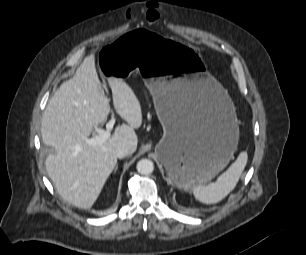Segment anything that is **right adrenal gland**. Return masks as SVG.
<instances>
[{
	"mask_svg": "<svg viewBox=\"0 0 306 255\" xmlns=\"http://www.w3.org/2000/svg\"><path fill=\"white\" fill-rule=\"evenodd\" d=\"M117 168H118V166H116V167H115V170H114V172H116V171H117Z\"/></svg>",
	"mask_w": 306,
	"mask_h": 255,
	"instance_id": "obj_1",
	"label": "right adrenal gland"
}]
</instances>
